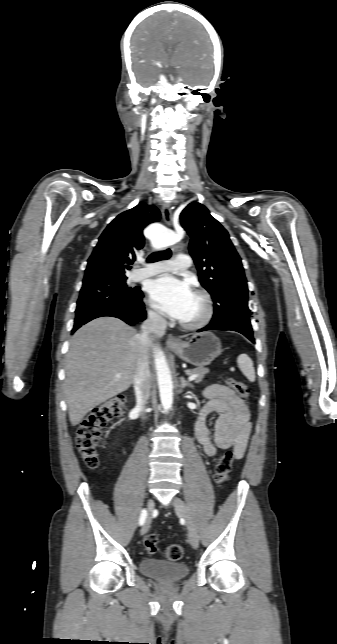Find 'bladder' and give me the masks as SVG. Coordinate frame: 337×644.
I'll list each match as a JSON object with an SVG mask.
<instances>
[{"instance_id": "obj_1", "label": "bladder", "mask_w": 337, "mask_h": 644, "mask_svg": "<svg viewBox=\"0 0 337 644\" xmlns=\"http://www.w3.org/2000/svg\"><path fill=\"white\" fill-rule=\"evenodd\" d=\"M143 575L164 582H176L185 578L189 567L183 562L164 561L154 558H143L139 564Z\"/></svg>"}]
</instances>
